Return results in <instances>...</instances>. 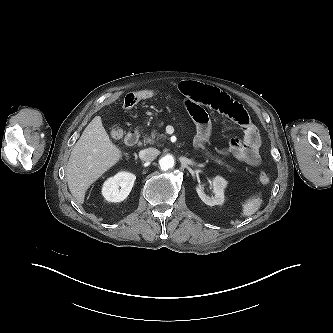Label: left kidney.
Returning <instances> with one entry per match:
<instances>
[{"label":"left kidney","instance_id":"obj_1","mask_svg":"<svg viewBox=\"0 0 333 333\" xmlns=\"http://www.w3.org/2000/svg\"><path fill=\"white\" fill-rule=\"evenodd\" d=\"M212 185H213V193L215 194L214 196L212 197L207 196L201 185H198L196 187L198 196L205 204L209 206L222 205L224 203V189L227 186V181L220 176H216L212 180Z\"/></svg>","mask_w":333,"mask_h":333}]
</instances>
